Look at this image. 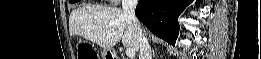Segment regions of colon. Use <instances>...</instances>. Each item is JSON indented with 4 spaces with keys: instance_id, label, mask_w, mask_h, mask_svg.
Instances as JSON below:
<instances>
[{
    "instance_id": "5ec220e1",
    "label": "colon",
    "mask_w": 261,
    "mask_h": 59,
    "mask_svg": "<svg viewBox=\"0 0 261 59\" xmlns=\"http://www.w3.org/2000/svg\"><path fill=\"white\" fill-rule=\"evenodd\" d=\"M79 59H97L96 52L89 46L81 47L78 51Z\"/></svg>"
}]
</instances>
